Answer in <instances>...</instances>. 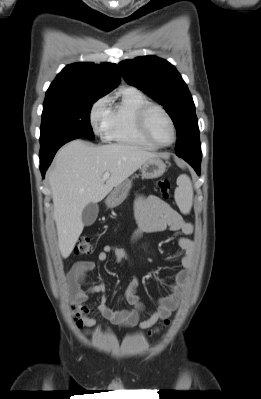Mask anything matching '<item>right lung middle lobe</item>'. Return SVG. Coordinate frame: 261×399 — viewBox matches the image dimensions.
<instances>
[{"label": "right lung middle lobe", "instance_id": "obj_1", "mask_svg": "<svg viewBox=\"0 0 261 399\" xmlns=\"http://www.w3.org/2000/svg\"><path fill=\"white\" fill-rule=\"evenodd\" d=\"M100 97H46L43 104L40 143L73 133L93 140L90 110Z\"/></svg>", "mask_w": 261, "mask_h": 399}]
</instances>
